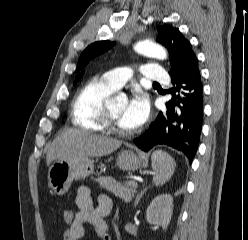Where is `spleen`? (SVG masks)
<instances>
[{
	"label": "spleen",
	"instance_id": "spleen-1",
	"mask_svg": "<svg viewBox=\"0 0 248 240\" xmlns=\"http://www.w3.org/2000/svg\"><path fill=\"white\" fill-rule=\"evenodd\" d=\"M153 182L156 186L165 184L173 175L176 163L174 159L162 150L152 153Z\"/></svg>",
	"mask_w": 248,
	"mask_h": 240
}]
</instances>
